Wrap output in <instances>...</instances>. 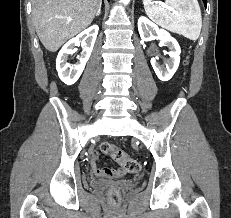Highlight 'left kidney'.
I'll use <instances>...</instances> for the list:
<instances>
[{
    "label": "left kidney",
    "mask_w": 231,
    "mask_h": 218,
    "mask_svg": "<svg viewBox=\"0 0 231 218\" xmlns=\"http://www.w3.org/2000/svg\"><path fill=\"white\" fill-rule=\"evenodd\" d=\"M138 31L143 41H150L157 38L169 48L168 55L170 58L167 60L166 68L161 67L154 58L151 59V65L160 80L167 81L171 79L180 63L181 49L176 39L166 30L159 29L155 23L144 16L138 19Z\"/></svg>",
    "instance_id": "obj_1"
}]
</instances>
